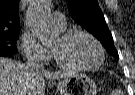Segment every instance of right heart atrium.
<instances>
[{
	"mask_svg": "<svg viewBox=\"0 0 135 95\" xmlns=\"http://www.w3.org/2000/svg\"><path fill=\"white\" fill-rule=\"evenodd\" d=\"M21 49L28 59L45 61L49 59V51L40 44L30 33H23L20 38Z\"/></svg>",
	"mask_w": 135,
	"mask_h": 95,
	"instance_id": "1",
	"label": "right heart atrium"
}]
</instances>
